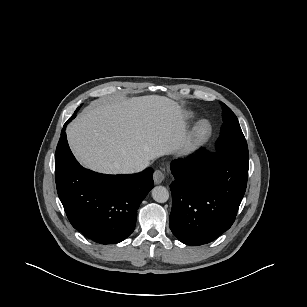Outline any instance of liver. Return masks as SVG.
<instances>
[{
    "instance_id": "6515ba94",
    "label": "liver",
    "mask_w": 307,
    "mask_h": 307,
    "mask_svg": "<svg viewBox=\"0 0 307 307\" xmlns=\"http://www.w3.org/2000/svg\"><path fill=\"white\" fill-rule=\"evenodd\" d=\"M69 145L82 165L100 173H123L180 150L186 138L181 107L147 95L95 100L68 126Z\"/></svg>"
}]
</instances>
